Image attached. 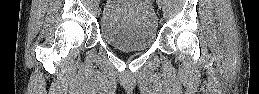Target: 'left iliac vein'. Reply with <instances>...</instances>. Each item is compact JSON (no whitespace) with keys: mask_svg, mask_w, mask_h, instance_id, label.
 <instances>
[{"mask_svg":"<svg viewBox=\"0 0 259 94\" xmlns=\"http://www.w3.org/2000/svg\"><path fill=\"white\" fill-rule=\"evenodd\" d=\"M157 2H158L159 7H161V1H160V0H158Z\"/></svg>","mask_w":259,"mask_h":94,"instance_id":"4c4485c4","label":"left iliac vein"}]
</instances>
